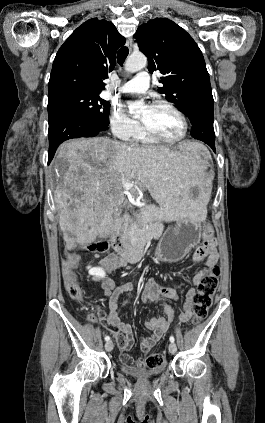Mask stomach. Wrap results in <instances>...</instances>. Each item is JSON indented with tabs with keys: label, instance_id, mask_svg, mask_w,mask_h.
I'll list each match as a JSON object with an SVG mask.
<instances>
[{
	"label": "stomach",
	"instance_id": "0dacf381",
	"mask_svg": "<svg viewBox=\"0 0 265 423\" xmlns=\"http://www.w3.org/2000/svg\"><path fill=\"white\" fill-rule=\"evenodd\" d=\"M195 143V142H189ZM197 147L186 153L188 162L199 165L203 172V179L200 183H195L189 188H196L202 192L213 176L211 155L206 147L195 143ZM193 200V199H192ZM194 201V200H193ZM195 202V201H194ZM201 236V224L191 216H183L176 220L173 227L168 228L161 237L155 250V258L161 262H176L181 260L196 244Z\"/></svg>",
	"mask_w": 265,
	"mask_h": 423
}]
</instances>
